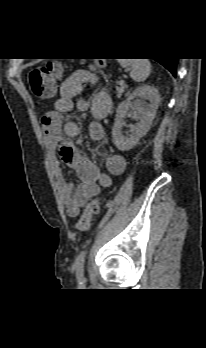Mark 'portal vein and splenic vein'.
<instances>
[{"instance_id":"portal-vein-and-splenic-vein-1","label":"portal vein and splenic vein","mask_w":206,"mask_h":348,"mask_svg":"<svg viewBox=\"0 0 206 348\" xmlns=\"http://www.w3.org/2000/svg\"><path fill=\"white\" fill-rule=\"evenodd\" d=\"M120 83L123 84V83H124V80H120Z\"/></svg>"}]
</instances>
